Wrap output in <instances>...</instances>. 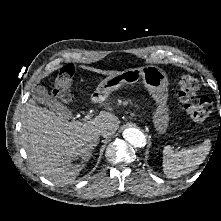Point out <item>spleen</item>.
Wrapping results in <instances>:
<instances>
[{
  "label": "spleen",
  "mask_w": 221,
  "mask_h": 221,
  "mask_svg": "<svg viewBox=\"0 0 221 221\" xmlns=\"http://www.w3.org/2000/svg\"><path fill=\"white\" fill-rule=\"evenodd\" d=\"M210 150L211 142L208 139L196 147L180 151H174L167 145L163 150V171L170 178H178L202 164Z\"/></svg>",
  "instance_id": "1"
}]
</instances>
